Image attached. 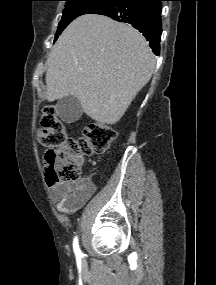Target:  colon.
<instances>
[{
    "label": "colon",
    "instance_id": "1",
    "mask_svg": "<svg viewBox=\"0 0 216 285\" xmlns=\"http://www.w3.org/2000/svg\"><path fill=\"white\" fill-rule=\"evenodd\" d=\"M39 142L49 147L45 154L46 179L50 185L80 180L79 159L104 153L116 138L115 130L100 123H90L83 137L69 138L53 106L44 109L38 129Z\"/></svg>",
    "mask_w": 216,
    "mask_h": 285
}]
</instances>
